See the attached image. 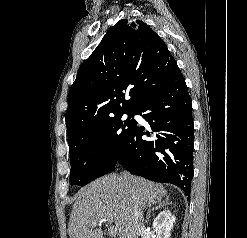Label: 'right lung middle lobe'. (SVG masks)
I'll use <instances>...</instances> for the list:
<instances>
[{"label": "right lung middle lobe", "instance_id": "obj_1", "mask_svg": "<svg viewBox=\"0 0 247 238\" xmlns=\"http://www.w3.org/2000/svg\"><path fill=\"white\" fill-rule=\"evenodd\" d=\"M123 114L89 128L69 146L72 184L84 186L114 169L135 124L134 112Z\"/></svg>", "mask_w": 247, "mask_h": 238}]
</instances>
